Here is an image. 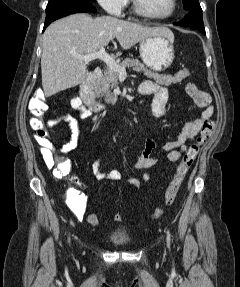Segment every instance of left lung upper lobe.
<instances>
[{"instance_id": "obj_1", "label": "left lung upper lobe", "mask_w": 240, "mask_h": 287, "mask_svg": "<svg viewBox=\"0 0 240 287\" xmlns=\"http://www.w3.org/2000/svg\"><path fill=\"white\" fill-rule=\"evenodd\" d=\"M183 5L186 10L200 6L198 0H183Z\"/></svg>"}]
</instances>
